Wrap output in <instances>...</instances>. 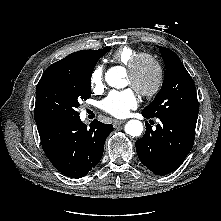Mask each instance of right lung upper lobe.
<instances>
[{
  "mask_svg": "<svg viewBox=\"0 0 221 221\" xmlns=\"http://www.w3.org/2000/svg\"><path fill=\"white\" fill-rule=\"evenodd\" d=\"M111 48H104L101 50H83V51H78L75 53H72L70 55H68L67 57H65L64 59L55 62L54 64L50 65L47 69H51V68H55V67H60V66H64V65H68V64H72L75 62H78L81 59L93 56L97 53H102L105 51H109Z\"/></svg>",
  "mask_w": 221,
  "mask_h": 221,
  "instance_id": "right-lung-upper-lobe-1",
  "label": "right lung upper lobe"
}]
</instances>
